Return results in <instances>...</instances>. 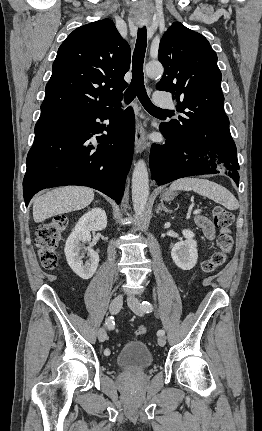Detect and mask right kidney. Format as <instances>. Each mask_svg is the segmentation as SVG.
<instances>
[{
    "instance_id": "ca27d5eb",
    "label": "right kidney",
    "mask_w": 262,
    "mask_h": 431,
    "mask_svg": "<svg viewBox=\"0 0 262 431\" xmlns=\"http://www.w3.org/2000/svg\"><path fill=\"white\" fill-rule=\"evenodd\" d=\"M107 226V216L103 209L94 208L85 213L77 222L65 245V256L70 268L82 279L91 278L97 270L99 255L91 246L88 251L89 259L83 263L80 251L84 244L91 241V231H101Z\"/></svg>"
}]
</instances>
